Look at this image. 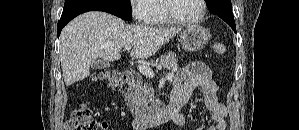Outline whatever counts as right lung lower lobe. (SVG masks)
<instances>
[{
    "label": "right lung lower lobe",
    "mask_w": 299,
    "mask_h": 130,
    "mask_svg": "<svg viewBox=\"0 0 299 130\" xmlns=\"http://www.w3.org/2000/svg\"><path fill=\"white\" fill-rule=\"evenodd\" d=\"M87 11H104L124 20H131V9L108 0H67L65 1L61 18L57 25L59 37L63 27L77 15Z\"/></svg>",
    "instance_id": "obj_1"
}]
</instances>
